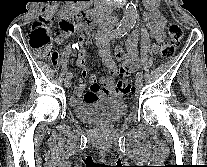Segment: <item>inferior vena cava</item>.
I'll return each instance as SVG.
<instances>
[{
  "label": "inferior vena cava",
  "mask_w": 207,
  "mask_h": 167,
  "mask_svg": "<svg viewBox=\"0 0 207 167\" xmlns=\"http://www.w3.org/2000/svg\"><path fill=\"white\" fill-rule=\"evenodd\" d=\"M109 8V4L107 2V0H100L97 2V10L102 13L105 14L107 12Z\"/></svg>",
  "instance_id": "602c4592"
}]
</instances>
